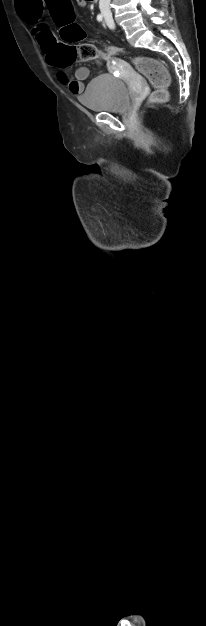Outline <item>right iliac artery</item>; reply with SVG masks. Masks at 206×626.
Masks as SVG:
<instances>
[{
  "instance_id": "obj_1",
  "label": "right iliac artery",
  "mask_w": 206,
  "mask_h": 626,
  "mask_svg": "<svg viewBox=\"0 0 206 626\" xmlns=\"http://www.w3.org/2000/svg\"><path fill=\"white\" fill-rule=\"evenodd\" d=\"M97 20L98 21H102V15L101 14L97 15Z\"/></svg>"
}]
</instances>
